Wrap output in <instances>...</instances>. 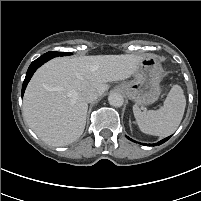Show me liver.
Wrapping results in <instances>:
<instances>
[{
    "mask_svg": "<svg viewBox=\"0 0 201 201\" xmlns=\"http://www.w3.org/2000/svg\"><path fill=\"white\" fill-rule=\"evenodd\" d=\"M145 56L133 54L58 57L41 66L30 80L23 116L46 144L65 146L82 135L88 103L82 92L101 96L108 82L134 75Z\"/></svg>",
    "mask_w": 201,
    "mask_h": 201,
    "instance_id": "6515ba94",
    "label": "liver"
}]
</instances>
